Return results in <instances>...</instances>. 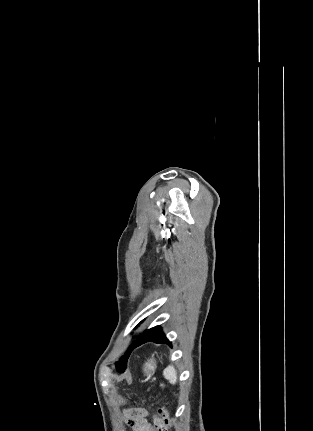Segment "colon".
I'll use <instances>...</instances> for the list:
<instances>
[{
    "mask_svg": "<svg viewBox=\"0 0 313 431\" xmlns=\"http://www.w3.org/2000/svg\"><path fill=\"white\" fill-rule=\"evenodd\" d=\"M159 414L161 415V419L156 425L157 431H167L170 425V417L169 412L166 408L162 407L159 409Z\"/></svg>",
    "mask_w": 313,
    "mask_h": 431,
    "instance_id": "obj_1",
    "label": "colon"
}]
</instances>
